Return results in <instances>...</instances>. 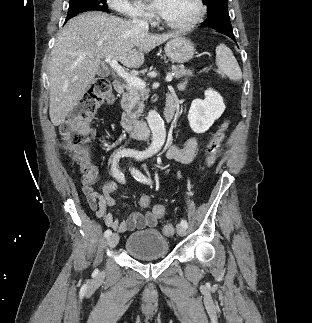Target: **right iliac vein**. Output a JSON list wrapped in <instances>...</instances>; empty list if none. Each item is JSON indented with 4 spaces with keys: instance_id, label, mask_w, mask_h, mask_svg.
<instances>
[{
    "instance_id": "right-iliac-vein-1",
    "label": "right iliac vein",
    "mask_w": 312,
    "mask_h": 323,
    "mask_svg": "<svg viewBox=\"0 0 312 323\" xmlns=\"http://www.w3.org/2000/svg\"><path fill=\"white\" fill-rule=\"evenodd\" d=\"M118 241H119V236L117 233H113L111 234L108 239H107V245L110 247V248H114L117 244H118Z\"/></svg>"
}]
</instances>
